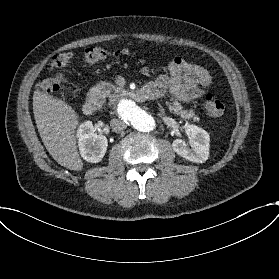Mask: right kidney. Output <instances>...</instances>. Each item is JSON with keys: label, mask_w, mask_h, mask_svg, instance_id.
Listing matches in <instances>:
<instances>
[{"label": "right kidney", "mask_w": 279, "mask_h": 279, "mask_svg": "<svg viewBox=\"0 0 279 279\" xmlns=\"http://www.w3.org/2000/svg\"><path fill=\"white\" fill-rule=\"evenodd\" d=\"M76 137L81 157L91 163H98L104 157L108 141L102 134H96L91 121H85L77 129Z\"/></svg>", "instance_id": "ca27d5eb"}]
</instances>
